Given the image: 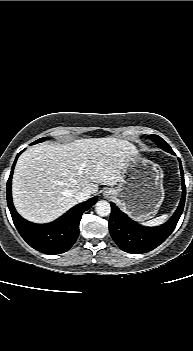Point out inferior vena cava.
Listing matches in <instances>:
<instances>
[{
	"mask_svg": "<svg viewBox=\"0 0 193 351\" xmlns=\"http://www.w3.org/2000/svg\"><path fill=\"white\" fill-rule=\"evenodd\" d=\"M90 195L91 192L89 190H82L76 194L75 198L78 202H82L87 200L90 197Z\"/></svg>",
	"mask_w": 193,
	"mask_h": 351,
	"instance_id": "602c4592",
	"label": "inferior vena cava"
}]
</instances>
